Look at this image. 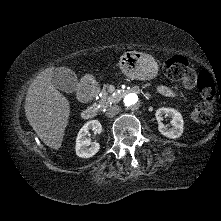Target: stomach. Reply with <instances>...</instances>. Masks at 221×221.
Masks as SVG:
<instances>
[{
  "label": "stomach",
  "mask_w": 221,
  "mask_h": 221,
  "mask_svg": "<svg viewBox=\"0 0 221 221\" xmlns=\"http://www.w3.org/2000/svg\"><path fill=\"white\" fill-rule=\"evenodd\" d=\"M124 75L130 79L151 80L158 74V64L155 59L146 53L138 51L125 52L119 61Z\"/></svg>",
  "instance_id": "1"
}]
</instances>
